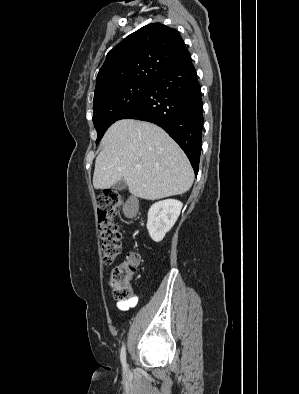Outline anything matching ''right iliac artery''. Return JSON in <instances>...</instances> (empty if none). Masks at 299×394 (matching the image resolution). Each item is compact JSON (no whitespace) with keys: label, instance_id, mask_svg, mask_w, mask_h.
Wrapping results in <instances>:
<instances>
[{"label":"right iliac artery","instance_id":"82829eb1","mask_svg":"<svg viewBox=\"0 0 299 394\" xmlns=\"http://www.w3.org/2000/svg\"><path fill=\"white\" fill-rule=\"evenodd\" d=\"M120 359H121V363H122L123 367L126 368V349H125L124 344L121 349Z\"/></svg>","mask_w":299,"mask_h":394}]
</instances>
